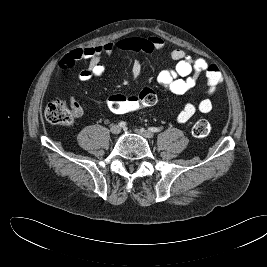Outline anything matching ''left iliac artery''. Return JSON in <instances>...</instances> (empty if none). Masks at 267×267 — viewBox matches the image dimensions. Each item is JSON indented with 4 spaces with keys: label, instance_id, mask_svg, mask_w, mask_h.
<instances>
[{
    "label": "left iliac artery",
    "instance_id": "1",
    "mask_svg": "<svg viewBox=\"0 0 267 267\" xmlns=\"http://www.w3.org/2000/svg\"><path fill=\"white\" fill-rule=\"evenodd\" d=\"M150 131H152V132H160L161 131V129L160 128H156V127H150V128H148Z\"/></svg>",
    "mask_w": 267,
    "mask_h": 267
}]
</instances>
